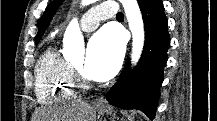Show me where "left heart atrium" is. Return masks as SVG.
Returning <instances> with one entry per match:
<instances>
[{
  "label": "left heart atrium",
  "instance_id": "1",
  "mask_svg": "<svg viewBox=\"0 0 217 121\" xmlns=\"http://www.w3.org/2000/svg\"><path fill=\"white\" fill-rule=\"evenodd\" d=\"M124 53L121 34L111 26L97 32L87 48L85 74L96 81H105L118 71Z\"/></svg>",
  "mask_w": 217,
  "mask_h": 121
}]
</instances>
